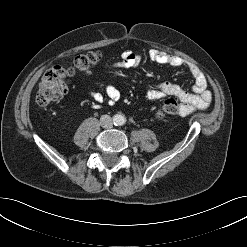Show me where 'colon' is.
Wrapping results in <instances>:
<instances>
[{"instance_id":"colon-1","label":"colon","mask_w":247,"mask_h":247,"mask_svg":"<svg viewBox=\"0 0 247 247\" xmlns=\"http://www.w3.org/2000/svg\"><path fill=\"white\" fill-rule=\"evenodd\" d=\"M99 53L91 51L86 54L78 55L74 60V67L64 69L55 66L49 69L41 79L36 93V103L40 107H47L59 102L68 92L67 76L75 72L88 74L98 64ZM180 111V104L176 99L169 98L164 101L156 112L158 119H164L168 116L176 115Z\"/></svg>"}]
</instances>
